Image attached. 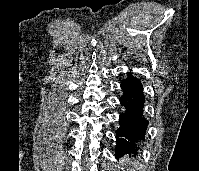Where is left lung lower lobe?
<instances>
[{"label":"left lung lower lobe","instance_id":"obj_1","mask_svg":"<svg viewBox=\"0 0 199 171\" xmlns=\"http://www.w3.org/2000/svg\"><path fill=\"white\" fill-rule=\"evenodd\" d=\"M121 89L120 104L125 107V112L120 115V128L116 131V157L125 152H137L139 143L145 141L148 126L143 116L145 97L141 81L129 72L121 82Z\"/></svg>","mask_w":199,"mask_h":171}]
</instances>
